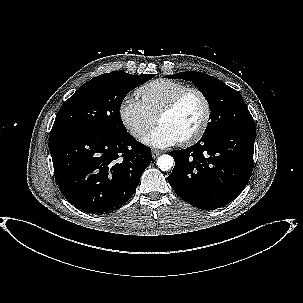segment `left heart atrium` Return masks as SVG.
Returning a JSON list of instances; mask_svg holds the SVG:
<instances>
[{"label":"left heart atrium","instance_id":"39dd6f15","mask_svg":"<svg viewBox=\"0 0 303 303\" xmlns=\"http://www.w3.org/2000/svg\"><path fill=\"white\" fill-rule=\"evenodd\" d=\"M143 141L153 147L163 148L175 145L180 140L169 128L159 124L144 137Z\"/></svg>","mask_w":303,"mask_h":303}]
</instances>
